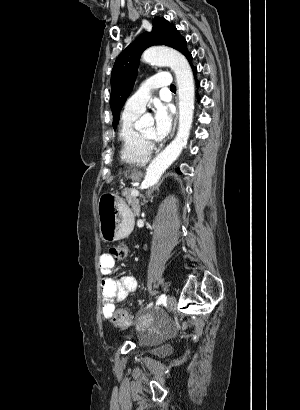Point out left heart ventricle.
Masks as SVG:
<instances>
[{
  "label": "left heart ventricle",
  "instance_id": "b2bd125f",
  "mask_svg": "<svg viewBox=\"0 0 300 410\" xmlns=\"http://www.w3.org/2000/svg\"><path fill=\"white\" fill-rule=\"evenodd\" d=\"M142 134H144L145 136L152 138L153 134H154V127L153 125H149L146 129H144L142 131Z\"/></svg>",
  "mask_w": 300,
  "mask_h": 410
}]
</instances>
